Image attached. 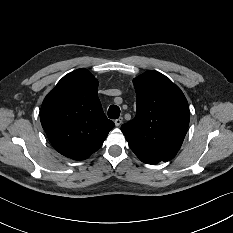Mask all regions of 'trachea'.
Instances as JSON below:
<instances>
[{
	"label": "trachea",
	"instance_id": "obj_1",
	"mask_svg": "<svg viewBox=\"0 0 233 233\" xmlns=\"http://www.w3.org/2000/svg\"><path fill=\"white\" fill-rule=\"evenodd\" d=\"M120 116V108L116 105H111L108 109V117L110 119H118Z\"/></svg>",
	"mask_w": 233,
	"mask_h": 233
}]
</instances>
